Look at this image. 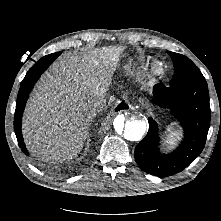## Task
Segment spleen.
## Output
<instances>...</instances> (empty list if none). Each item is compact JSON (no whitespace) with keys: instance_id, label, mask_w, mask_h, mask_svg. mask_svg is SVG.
<instances>
[{"instance_id":"1","label":"spleen","mask_w":221,"mask_h":221,"mask_svg":"<svg viewBox=\"0 0 221 221\" xmlns=\"http://www.w3.org/2000/svg\"><path fill=\"white\" fill-rule=\"evenodd\" d=\"M174 124H175V123H174ZM174 136H175V134H174V133H171V134H170V136H169L170 141H172V140H173Z\"/></svg>"}]
</instances>
